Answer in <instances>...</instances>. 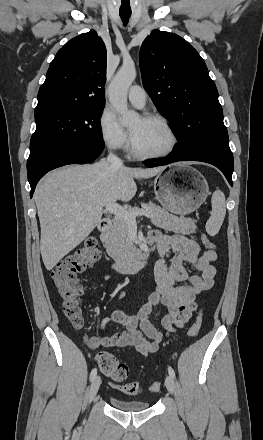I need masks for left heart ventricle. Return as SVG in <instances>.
Segmentation results:
<instances>
[{"instance_id": "left-heart-ventricle-1", "label": "left heart ventricle", "mask_w": 263, "mask_h": 440, "mask_svg": "<svg viewBox=\"0 0 263 440\" xmlns=\"http://www.w3.org/2000/svg\"><path fill=\"white\" fill-rule=\"evenodd\" d=\"M129 130L134 145L142 152L163 151L170 144L168 131L158 122L138 118L130 124Z\"/></svg>"}]
</instances>
